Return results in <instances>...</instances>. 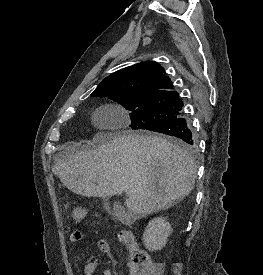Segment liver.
<instances>
[{
	"label": "liver",
	"instance_id": "obj_1",
	"mask_svg": "<svg viewBox=\"0 0 263 275\" xmlns=\"http://www.w3.org/2000/svg\"><path fill=\"white\" fill-rule=\"evenodd\" d=\"M93 142L98 146L58 158L52 171L78 195L106 199L127 191L129 219L169 208L194 188L193 159L165 138L100 132Z\"/></svg>",
	"mask_w": 263,
	"mask_h": 275
}]
</instances>
